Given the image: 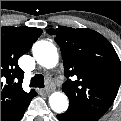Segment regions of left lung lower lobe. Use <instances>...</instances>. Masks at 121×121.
Instances as JSON below:
<instances>
[{"mask_svg": "<svg viewBox=\"0 0 121 121\" xmlns=\"http://www.w3.org/2000/svg\"><path fill=\"white\" fill-rule=\"evenodd\" d=\"M57 117L60 121H97L98 120V119L77 114L70 110H67L65 113L58 114Z\"/></svg>", "mask_w": 121, "mask_h": 121, "instance_id": "1", "label": "left lung lower lobe"}]
</instances>
